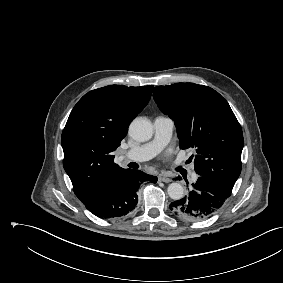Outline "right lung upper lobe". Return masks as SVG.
Here are the masks:
<instances>
[{
    "label": "right lung upper lobe",
    "mask_w": 283,
    "mask_h": 283,
    "mask_svg": "<svg viewBox=\"0 0 283 283\" xmlns=\"http://www.w3.org/2000/svg\"><path fill=\"white\" fill-rule=\"evenodd\" d=\"M153 86L110 85L85 94L71 111L62 132L63 166L73 190L86 203L128 169L114 163L113 151L130 121L147 105Z\"/></svg>",
    "instance_id": "1"
}]
</instances>
